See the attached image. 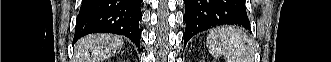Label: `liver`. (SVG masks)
Here are the masks:
<instances>
[{"mask_svg":"<svg viewBox=\"0 0 331 62\" xmlns=\"http://www.w3.org/2000/svg\"><path fill=\"white\" fill-rule=\"evenodd\" d=\"M124 41L112 34H91L75 44L76 62H103L123 48Z\"/></svg>","mask_w":331,"mask_h":62,"instance_id":"liver-1","label":"liver"}]
</instances>
